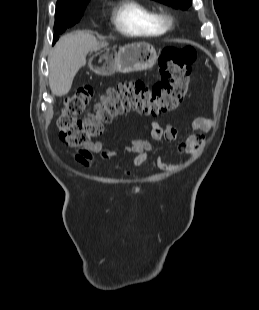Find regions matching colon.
<instances>
[{
    "label": "colon",
    "instance_id": "colon-1",
    "mask_svg": "<svg viewBox=\"0 0 259 310\" xmlns=\"http://www.w3.org/2000/svg\"><path fill=\"white\" fill-rule=\"evenodd\" d=\"M196 56L193 47H165L158 60L160 81L152 86L142 80L118 82L106 90L91 112L87 108L94 89L77 88L67 98L58 119L60 139L72 147H85L119 115L137 112L158 116L176 109L188 94Z\"/></svg>",
    "mask_w": 259,
    "mask_h": 310
}]
</instances>
